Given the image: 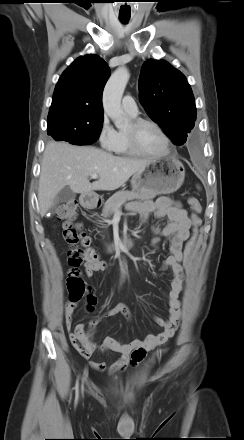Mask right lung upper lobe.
<instances>
[{
	"label": "right lung upper lobe",
	"instance_id": "right-lung-upper-lobe-1",
	"mask_svg": "<svg viewBox=\"0 0 244 440\" xmlns=\"http://www.w3.org/2000/svg\"><path fill=\"white\" fill-rule=\"evenodd\" d=\"M109 76L110 69L99 56L76 59L56 85L48 121H103L102 92Z\"/></svg>",
	"mask_w": 244,
	"mask_h": 440
}]
</instances>
